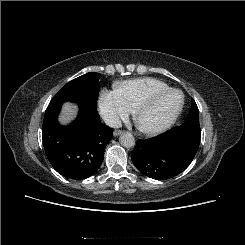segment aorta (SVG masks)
Instances as JSON below:
<instances>
[{
    "label": "aorta",
    "instance_id": "1",
    "mask_svg": "<svg viewBox=\"0 0 245 245\" xmlns=\"http://www.w3.org/2000/svg\"><path fill=\"white\" fill-rule=\"evenodd\" d=\"M120 144L125 148H132L135 145V138L130 132H124L119 138Z\"/></svg>",
    "mask_w": 245,
    "mask_h": 245
}]
</instances>
